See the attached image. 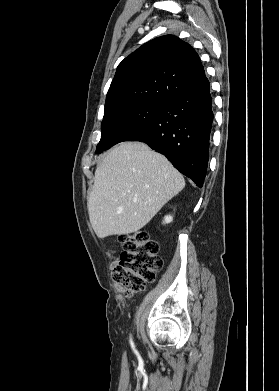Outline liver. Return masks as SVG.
Listing matches in <instances>:
<instances>
[{
	"label": "liver",
	"instance_id": "1",
	"mask_svg": "<svg viewBox=\"0 0 279 391\" xmlns=\"http://www.w3.org/2000/svg\"><path fill=\"white\" fill-rule=\"evenodd\" d=\"M185 186L165 156L141 142H123L97 167L88 199L92 228L99 238L143 228Z\"/></svg>",
	"mask_w": 279,
	"mask_h": 391
}]
</instances>
